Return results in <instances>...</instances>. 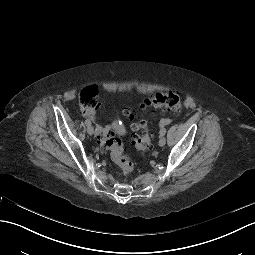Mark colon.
Listing matches in <instances>:
<instances>
[{"label": "colon", "mask_w": 255, "mask_h": 255, "mask_svg": "<svg viewBox=\"0 0 255 255\" xmlns=\"http://www.w3.org/2000/svg\"><path fill=\"white\" fill-rule=\"evenodd\" d=\"M80 106L87 115H93L97 108V90L95 87H88L80 93ZM143 107H152L163 112L178 113L181 110L180 97L173 92L157 93L144 100ZM132 144L138 151L150 150L151 135L144 120L133 124ZM100 144L111 151L112 160L119 167L120 173L128 177L134 171V164L130 157L122 150V143L110 129H105Z\"/></svg>", "instance_id": "5ec220e1"}]
</instances>
